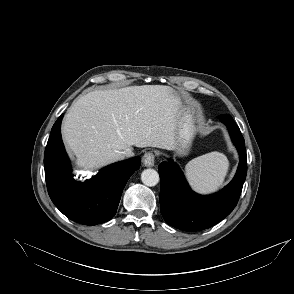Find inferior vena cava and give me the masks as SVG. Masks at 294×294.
I'll use <instances>...</instances> for the list:
<instances>
[{"label":"inferior vena cava","mask_w":294,"mask_h":294,"mask_svg":"<svg viewBox=\"0 0 294 294\" xmlns=\"http://www.w3.org/2000/svg\"><path fill=\"white\" fill-rule=\"evenodd\" d=\"M121 154L123 155V157H132L134 155L132 149L130 148L125 149L121 152Z\"/></svg>","instance_id":"obj_1"}]
</instances>
